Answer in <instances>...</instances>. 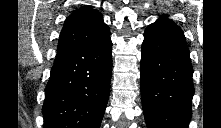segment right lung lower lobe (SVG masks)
<instances>
[{"label": "right lung lower lobe", "instance_id": "1", "mask_svg": "<svg viewBox=\"0 0 221 128\" xmlns=\"http://www.w3.org/2000/svg\"><path fill=\"white\" fill-rule=\"evenodd\" d=\"M112 42L57 50L45 89L44 128H99L108 102Z\"/></svg>", "mask_w": 221, "mask_h": 128}]
</instances>
